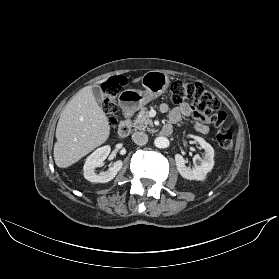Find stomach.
Masks as SVG:
<instances>
[{"mask_svg": "<svg viewBox=\"0 0 279 279\" xmlns=\"http://www.w3.org/2000/svg\"><path fill=\"white\" fill-rule=\"evenodd\" d=\"M144 90L127 89L120 93L118 102L126 113H134L160 97L169 87V76L160 70L147 72L141 79Z\"/></svg>", "mask_w": 279, "mask_h": 279, "instance_id": "1", "label": "stomach"}]
</instances>
